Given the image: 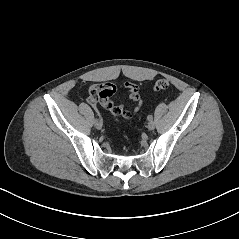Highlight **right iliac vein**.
I'll return each instance as SVG.
<instances>
[{"mask_svg":"<svg viewBox=\"0 0 239 239\" xmlns=\"http://www.w3.org/2000/svg\"><path fill=\"white\" fill-rule=\"evenodd\" d=\"M102 126H103V124H102L101 121H98L97 123H95V127H96L97 129H101Z\"/></svg>","mask_w":239,"mask_h":239,"instance_id":"1","label":"right iliac vein"}]
</instances>
